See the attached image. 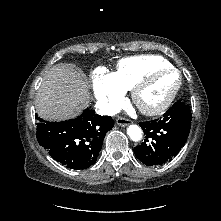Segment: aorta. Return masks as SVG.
<instances>
[{"mask_svg":"<svg viewBox=\"0 0 221 221\" xmlns=\"http://www.w3.org/2000/svg\"><path fill=\"white\" fill-rule=\"evenodd\" d=\"M127 133L131 140L133 141H139L142 138V130L139 126L137 125H130L127 128Z\"/></svg>","mask_w":221,"mask_h":221,"instance_id":"762f6f07","label":"aorta"}]
</instances>
